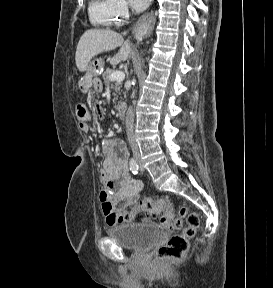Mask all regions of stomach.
Returning a JSON list of instances; mask_svg holds the SVG:
<instances>
[{
    "label": "stomach",
    "mask_w": 273,
    "mask_h": 288,
    "mask_svg": "<svg viewBox=\"0 0 273 288\" xmlns=\"http://www.w3.org/2000/svg\"><path fill=\"white\" fill-rule=\"evenodd\" d=\"M104 64L105 62L102 58H95L89 63L87 73L83 78V82L88 84L87 90L93 93L102 91V84L98 76L103 71Z\"/></svg>",
    "instance_id": "obj_1"
}]
</instances>
